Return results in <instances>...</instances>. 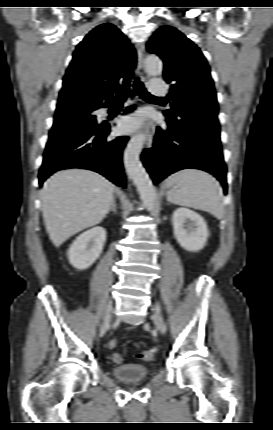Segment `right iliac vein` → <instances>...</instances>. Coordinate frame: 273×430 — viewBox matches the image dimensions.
<instances>
[{
	"instance_id": "right-iliac-vein-1",
	"label": "right iliac vein",
	"mask_w": 273,
	"mask_h": 430,
	"mask_svg": "<svg viewBox=\"0 0 273 430\" xmlns=\"http://www.w3.org/2000/svg\"><path fill=\"white\" fill-rule=\"evenodd\" d=\"M111 320H112L111 314L110 313H106L104 315V317H103V321H102V324L100 326L101 331H105V330L108 329V327H109V325L111 323Z\"/></svg>"
}]
</instances>
